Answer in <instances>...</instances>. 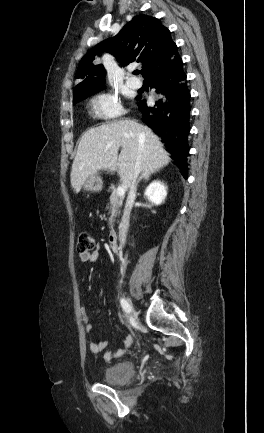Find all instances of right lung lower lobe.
I'll return each mask as SVG.
<instances>
[{
  "instance_id": "1",
  "label": "right lung lower lobe",
  "mask_w": 264,
  "mask_h": 433,
  "mask_svg": "<svg viewBox=\"0 0 264 433\" xmlns=\"http://www.w3.org/2000/svg\"><path fill=\"white\" fill-rule=\"evenodd\" d=\"M179 55L169 62L160 65L144 77L156 93L155 103L148 106L146 100H139L138 109L143 122L154 130L166 144L171 158L176 162L181 174L188 178L187 155L189 146L190 93L187 87L186 74Z\"/></svg>"
}]
</instances>
